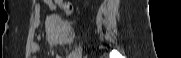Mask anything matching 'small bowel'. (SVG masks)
Here are the masks:
<instances>
[{
  "label": "small bowel",
  "instance_id": "c3829d8e",
  "mask_svg": "<svg viewBox=\"0 0 181 58\" xmlns=\"http://www.w3.org/2000/svg\"><path fill=\"white\" fill-rule=\"evenodd\" d=\"M45 2L51 7V8H59L64 14H70L72 11V6L69 2L64 0H45ZM41 11L40 5H37L35 8L36 14H39ZM71 40V36L67 35L65 38V42L69 43ZM31 51L33 54H37L40 51V45L38 43H33L31 46Z\"/></svg>",
  "mask_w": 181,
  "mask_h": 58
}]
</instances>
